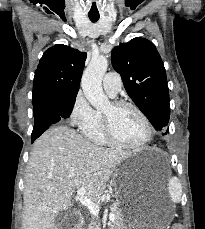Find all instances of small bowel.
Returning <instances> with one entry per match:
<instances>
[{"label": "small bowel", "mask_w": 205, "mask_h": 229, "mask_svg": "<svg viewBox=\"0 0 205 229\" xmlns=\"http://www.w3.org/2000/svg\"><path fill=\"white\" fill-rule=\"evenodd\" d=\"M173 229H179L178 227H174Z\"/></svg>", "instance_id": "small-bowel-1"}]
</instances>
